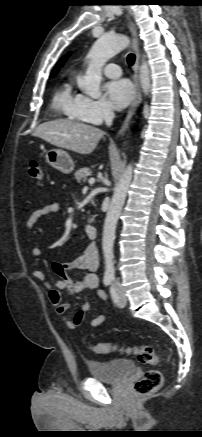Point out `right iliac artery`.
Returning <instances> with one entry per match:
<instances>
[{"mask_svg":"<svg viewBox=\"0 0 202 437\" xmlns=\"http://www.w3.org/2000/svg\"><path fill=\"white\" fill-rule=\"evenodd\" d=\"M111 281H112V278H110V277H105L103 280L105 286L110 285Z\"/></svg>","mask_w":202,"mask_h":437,"instance_id":"82829eb1","label":"right iliac artery"}]
</instances>
